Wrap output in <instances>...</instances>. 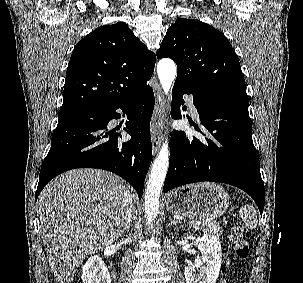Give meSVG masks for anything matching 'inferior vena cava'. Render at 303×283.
Wrapping results in <instances>:
<instances>
[{"mask_svg": "<svg viewBox=\"0 0 303 283\" xmlns=\"http://www.w3.org/2000/svg\"><path fill=\"white\" fill-rule=\"evenodd\" d=\"M123 215H124L123 221H124V229H125V227L128 225L130 227V223L128 220L129 218L131 219L132 216V198L129 194H126L125 197V210Z\"/></svg>", "mask_w": 303, "mask_h": 283, "instance_id": "602c4592", "label": "inferior vena cava"}]
</instances>
